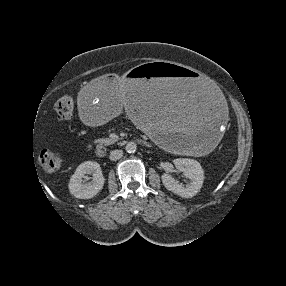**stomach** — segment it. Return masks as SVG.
I'll return each mask as SVG.
<instances>
[{"mask_svg":"<svg viewBox=\"0 0 286 286\" xmlns=\"http://www.w3.org/2000/svg\"><path fill=\"white\" fill-rule=\"evenodd\" d=\"M75 107L85 121L102 124L128 116L162 149L204 153L219 142L227 104L210 80L171 62H154L127 79L106 71L77 94Z\"/></svg>","mask_w":286,"mask_h":286,"instance_id":"1","label":"stomach"}]
</instances>
